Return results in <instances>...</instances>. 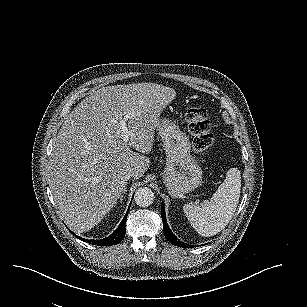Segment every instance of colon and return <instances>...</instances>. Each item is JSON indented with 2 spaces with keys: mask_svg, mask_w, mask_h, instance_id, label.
<instances>
[{
  "mask_svg": "<svg viewBox=\"0 0 307 307\" xmlns=\"http://www.w3.org/2000/svg\"><path fill=\"white\" fill-rule=\"evenodd\" d=\"M186 120L193 137V148L198 153H206L214 143L208 111L203 107L190 108Z\"/></svg>",
  "mask_w": 307,
  "mask_h": 307,
  "instance_id": "1",
  "label": "colon"
}]
</instances>
